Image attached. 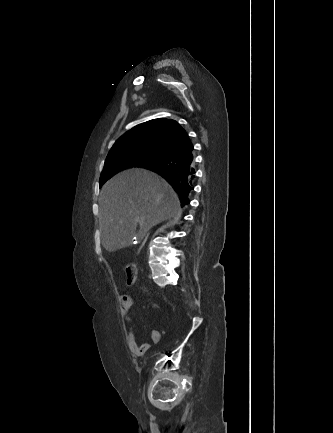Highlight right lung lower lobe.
<instances>
[{"mask_svg":"<svg viewBox=\"0 0 333 433\" xmlns=\"http://www.w3.org/2000/svg\"><path fill=\"white\" fill-rule=\"evenodd\" d=\"M195 163L193 145L186 146L170 153L164 159L146 166L161 175L179 193L182 206L190 203L189 193L194 188Z\"/></svg>","mask_w":333,"mask_h":433,"instance_id":"1","label":"right lung lower lobe"}]
</instances>
